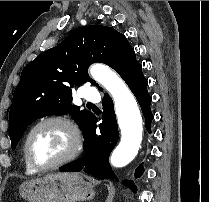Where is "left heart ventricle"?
Listing matches in <instances>:
<instances>
[{"label":"left heart ventricle","mask_w":209,"mask_h":202,"mask_svg":"<svg viewBox=\"0 0 209 202\" xmlns=\"http://www.w3.org/2000/svg\"><path fill=\"white\" fill-rule=\"evenodd\" d=\"M70 137L66 130L55 123L38 128L29 143L32 159L39 165H48L57 161L69 149Z\"/></svg>","instance_id":"b2bd125f"}]
</instances>
